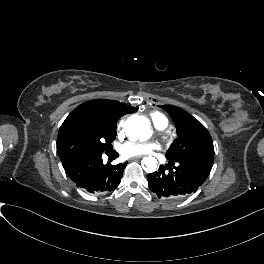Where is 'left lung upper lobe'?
I'll list each match as a JSON object with an SVG mask.
<instances>
[{
    "label": "left lung upper lobe",
    "mask_w": 264,
    "mask_h": 264,
    "mask_svg": "<svg viewBox=\"0 0 264 264\" xmlns=\"http://www.w3.org/2000/svg\"><path fill=\"white\" fill-rule=\"evenodd\" d=\"M176 123L177 138L166 152L168 163L156 173L169 184L187 192L201 186L210 174L214 161V146L207 129L186 111L161 106Z\"/></svg>",
    "instance_id": "left-lung-upper-lobe-1"
}]
</instances>
